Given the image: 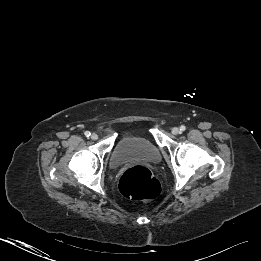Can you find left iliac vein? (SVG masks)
<instances>
[{"label": "left iliac vein", "instance_id": "left-iliac-vein-1", "mask_svg": "<svg viewBox=\"0 0 261 261\" xmlns=\"http://www.w3.org/2000/svg\"><path fill=\"white\" fill-rule=\"evenodd\" d=\"M180 133V129L177 127L172 128V134L178 135Z\"/></svg>", "mask_w": 261, "mask_h": 261}]
</instances>
